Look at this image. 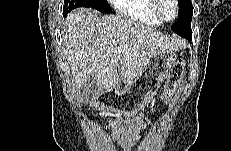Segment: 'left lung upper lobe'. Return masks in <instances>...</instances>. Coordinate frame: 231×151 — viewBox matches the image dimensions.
Returning a JSON list of instances; mask_svg holds the SVG:
<instances>
[{
  "instance_id": "obj_1",
  "label": "left lung upper lobe",
  "mask_w": 231,
  "mask_h": 151,
  "mask_svg": "<svg viewBox=\"0 0 231 151\" xmlns=\"http://www.w3.org/2000/svg\"><path fill=\"white\" fill-rule=\"evenodd\" d=\"M178 3V20L173 24L171 29L180 36L186 37L192 33L191 21L193 14V6L191 0H178Z\"/></svg>"
}]
</instances>
